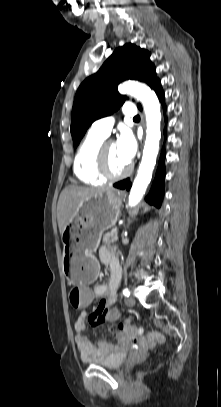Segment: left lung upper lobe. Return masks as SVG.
<instances>
[{"label": "left lung upper lobe", "mask_w": 221, "mask_h": 407, "mask_svg": "<svg viewBox=\"0 0 221 407\" xmlns=\"http://www.w3.org/2000/svg\"><path fill=\"white\" fill-rule=\"evenodd\" d=\"M127 79L145 82L151 88L159 81L150 53L133 44L115 49L102 67L79 86L71 119L75 147L95 120L113 114L124 103L126 96L118 93L117 85Z\"/></svg>", "instance_id": "left-lung-upper-lobe-1"}]
</instances>
